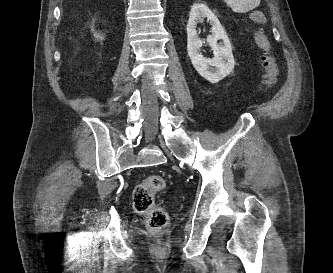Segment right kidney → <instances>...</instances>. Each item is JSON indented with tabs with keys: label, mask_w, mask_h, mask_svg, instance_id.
I'll list each match as a JSON object with an SVG mask.
<instances>
[{
	"label": "right kidney",
	"mask_w": 333,
	"mask_h": 273,
	"mask_svg": "<svg viewBox=\"0 0 333 273\" xmlns=\"http://www.w3.org/2000/svg\"><path fill=\"white\" fill-rule=\"evenodd\" d=\"M94 36L98 39L101 38L99 34H94Z\"/></svg>",
	"instance_id": "obj_1"
}]
</instances>
